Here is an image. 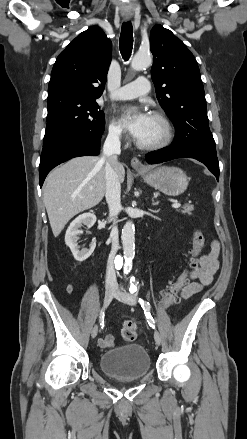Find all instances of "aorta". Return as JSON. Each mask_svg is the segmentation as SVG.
<instances>
[{
  "instance_id": "aorta-1",
  "label": "aorta",
  "mask_w": 247,
  "mask_h": 439,
  "mask_svg": "<svg viewBox=\"0 0 247 439\" xmlns=\"http://www.w3.org/2000/svg\"><path fill=\"white\" fill-rule=\"evenodd\" d=\"M152 63V57L149 53L138 52L131 61V67L134 70H143L148 68ZM122 244L124 254V273L130 272L132 260L135 256V227L132 221H127L122 229Z\"/></svg>"
}]
</instances>
